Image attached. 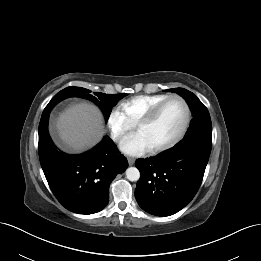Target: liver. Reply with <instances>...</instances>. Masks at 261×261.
<instances>
[{"label": "liver", "mask_w": 261, "mask_h": 261, "mask_svg": "<svg viewBox=\"0 0 261 261\" xmlns=\"http://www.w3.org/2000/svg\"><path fill=\"white\" fill-rule=\"evenodd\" d=\"M56 127L62 141L76 152L96 145L104 135L100 110L88 103L71 106L60 114Z\"/></svg>", "instance_id": "liver-1"}]
</instances>
